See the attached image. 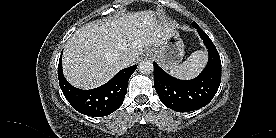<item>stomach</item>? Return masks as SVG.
Segmentation results:
<instances>
[{
  "instance_id": "obj_1",
  "label": "stomach",
  "mask_w": 276,
  "mask_h": 138,
  "mask_svg": "<svg viewBox=\"0 0 276 138\" xmlns=\"http://www.w3.org/2000/svg\"><path fill=\"white\" fill-rule=\"evenodd\" d=\"M153 53V57L166 69H172L177 66L184 56V43L178 33L172 34L159 47H154L149 50Z\"/></svg>"
}]
</instances>
